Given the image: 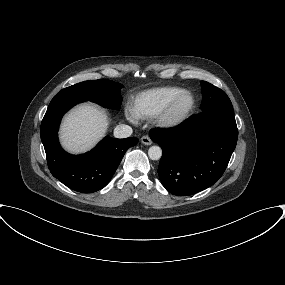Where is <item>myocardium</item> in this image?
<instances>
[{
	"label": "myocardium",
	"mask_w": 285,
	"mask_h": 285,
	"mask_svg": "<svg viewBox=\"0 0 285 285\" xmlns=\"http://www.w3.org/2000/svg\"><path fill=\"white\" fill-rule=\"evenodd\" d=\"M185 98L190 99L189 105L179 110L181 101ZM196 106L194 95L189 91H184L172 99L169 104L158 114V124L167 129H174L183 125L192 115Z\"/></svg>",
	"instance_id": "myocardium-1"
}]
</instances>
